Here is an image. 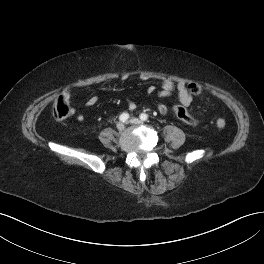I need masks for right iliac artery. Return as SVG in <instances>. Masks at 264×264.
<instances>
[{
    "instance_id": "1",
    "label": "right iliac artery",
    "mask_w": 264,
    "mask_h": 264,
    "mask_svg": "<svg viewBox=\"0 0 264 264\" xmlns=\"http://www.w3.org/2000/svg\"><path fill=\"white\" fill-rule=\"evenodd\" d=\"M129 119V114L128 113H122L119 117V120L122 122H125Z\"/></svg>"
}]
</instances>
